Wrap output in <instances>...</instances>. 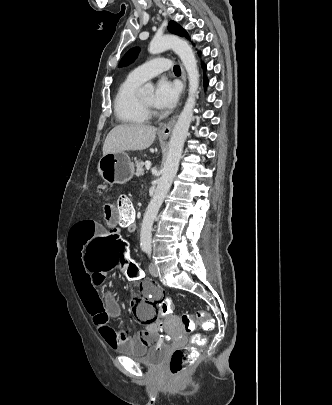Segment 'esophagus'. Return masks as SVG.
<instances>
[{"label": "esophagus", "mask_w": 332, "mask_h": 405, "mask_svg": "<svg viewBox=\"0 0 332 405\" xmlns=\"http://www.w3.org/2000/svg\"><path fill=\"white\" fill-rule=\"evenodd\" d=\"M181 69H182V81H183V87H184L183 91H184L185 87H186V72H185L183 67H181ZM175 120H176V116L171 118V120L168 123H166L165 125H163L160 128L159 134L161 136L168 137L170 135V133H171V130H172V127H173V125L175 123Z\"/></svg>", "instance_id": "obj_1"}]
</instances>
